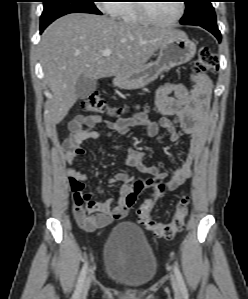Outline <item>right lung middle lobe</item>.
<instances>
[{"label": "right lung middle lobe", "mask_w": 248, "mask_h": 299, "mask_svg": "<svg viewBox=\"0 0 248 299\" xmlns=\"http://www.w3.org/2000/svg\"><path fill=\"white\" fill-rule=\"evenodd\" d=\"M43 4L41 27H47L55 19L69 13L102 14L96 8L93 0H43Z\"/></svg>", "instance_id": "obj_1"}]
</instances>
